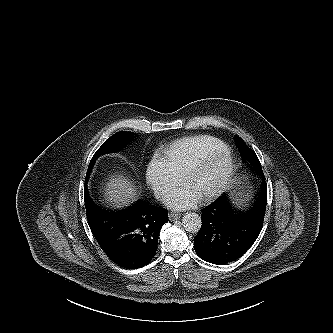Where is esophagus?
Masks as SVG:
<instances>
[{"mask_svg":"<svg viewBox=\"0 0 333 333\" xmlns=\"http://www.w3.org/2000/svg\"><path fill=\"white\" fill-rule=\"evenodd\" d=\"M181 217V214L180 213H170L169 214V218L171 221H174V220H177Z\"/></svg>","mask_w":333,"mask_h":333,"instance_id":"34e87169","label":"esophagus"}]
</instances>
